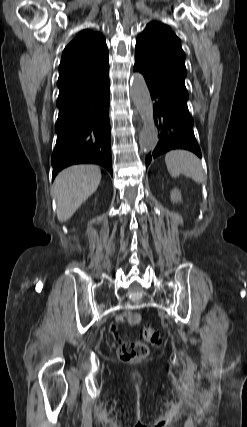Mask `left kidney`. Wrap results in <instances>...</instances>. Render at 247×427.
<instances>
[{
	"instance_id": "left-kidney-1",
	"label": "left kidney",
	"mask_w": 247,
	"mask_h": 427,
	"mask_svg": "<svg viewBox=\"0 0 247 427\" xmlns=\"http://www.w3.org/2000/svg\"><path fill=\"white\" fill-rule=\"evenodd\" d=\"M181 192L179 191V189L174 188L171 191V200L173 203H177V202H181Z\"/></svg>"
}]
</instances>
